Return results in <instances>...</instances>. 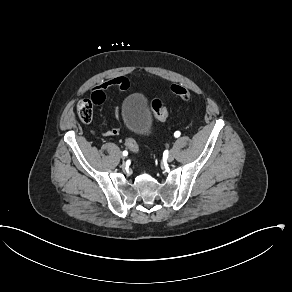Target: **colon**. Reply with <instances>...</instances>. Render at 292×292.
Listing matches in <instances>:
<instances>
[{
	"mask_svg": "<svg viewBox=\"0 0 292 292\" xmlns=\"http://www.w3.org/2000/svg\"><path fill=\"white\" fill-rule=\"evenodd\" d=\"M172 90L177 97L182 98L185 101L190 100V96L186 88L180 85H175ZM105 99V93L100 90L94 92L91 98L83 97L79 99L76 105V115L78 119L83 124H90L93 119L94 108L103 104ZM150 108L158 121H165L169 117V108L165 106L158 98H155L151 101ZM124 142L126 149L129 152L132 154H137L139 152V145L133 135L125 136Z\"/></svg>",
	"mask_w": 292,
	"mask_h": 292,
	"instance_id": "5ec220e1",
	"label": "colon"
}]
</instances>
